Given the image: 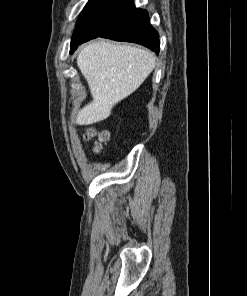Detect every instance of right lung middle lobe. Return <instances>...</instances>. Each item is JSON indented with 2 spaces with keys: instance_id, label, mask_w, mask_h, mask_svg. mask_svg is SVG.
Wrapping results in <instances>:
<instances>
[{
  "instance_id": "right-lung-middle-lobe-1",
  "label": "right lung middle lobe",
  "mask_w": 247,
  "mask_h": 296,
  "mask_svg": "<svg viewBox=\"0 0 247 296\" xmlns=\"http://www.w3.org/2000/svg\"><path fill=\"white\" fill-rule=\"evenodd\" d=\"M111 0H89L84 10L81 12L73 37L71 39V51L78 46L80 42L88 35L87 25L98 17L101 12L106 8Z\"/></svg>"
}]
</instances>
